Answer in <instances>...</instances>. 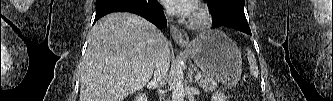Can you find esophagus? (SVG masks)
<instances>
[{
	"mask_svg": "<svg viewBox=\"0 0 333 101\" xmlns=\"http://www.w3.org/2000/svg\"><path fill=\"white\" fill-rule=\"evenodd\" d=\"M171 36L173 39L180 45V46H187L189 43V36L188 34L183 31L178 29L175 25H171Z\"/></svg>",
	"mask_w": 333,
	"mask_h": 101,
	"instance_id": "esophagus-1",
	"label": "esophagus"
}]
</instances>
